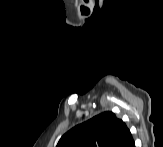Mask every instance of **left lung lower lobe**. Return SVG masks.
Segmentation results:
<instances>
[{
    "instance_id": "0a47b994",
    "label": "left lung lower lobe",
    "mask_w": 163,
    "mask_h": 147,
    "mask_svg": "<svg viewBox=\"0 0 163 147\" xmlns=\"http://www.w3.org/2000/svg\"><path fill=\"white\" fill-rule=\"evenodd\" d=\"M115 147H135L134 140L128 128L124 131Z\"/></svg>"
}]
</instances>
